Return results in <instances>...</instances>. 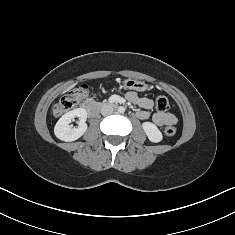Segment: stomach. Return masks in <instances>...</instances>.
<instances>
[{
    "instance_id": "0dacf381",
    "label": "stomach",
    "mask_w": 235,
    "mask_h": 235,
    "mask_svg": "<svg viewBox=\"0 0 235 235\" xmlns=\"http://www.w3.org/2000/svg\"><path fill=\"white\" fill-rule=\"evenodd\" d=\"M123 86L126 89L136 90L139 92H144L148 89V85L144 81H139L135 79H125L123 80Z\"/></svg>"
}]
</instances>
